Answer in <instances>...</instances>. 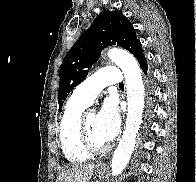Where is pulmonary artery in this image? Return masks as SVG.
<instances>
[{
  "mask_svg": "<svg viewBox=\"0 0 196 182\" xmlns=\"http://www.w3.org/2000/svg\"><path fill=\"white\" fill-rule=\"evenodd\" d=\"M122 74L116 67H103L97 73L79 84L72 93V98L90 105L95 97L109 85H119Z\"/></svg>",
  "mask_w": 196,
  "mask_h": 182,
  "instance_id": "pulmonary-artery-1",
  "label": "pulmonary artery"
}]
</instances>
